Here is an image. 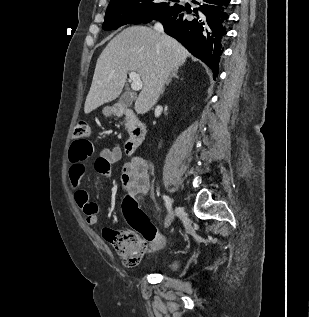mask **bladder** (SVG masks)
Returning a JSON list of instances; mask_svg holds the SVG:
<instances>
[{
  "label": "bladder",
  "instance_id": "obj_1",
  "mask_svg": "<svg viewBox=\"0 0 309 317\" xmlns=\"http://www.w3.org/2000/svg\"><path fill=\"white\" fill-rule=\"evenodd\" d=\"M163 266L167 271L174 272L177 269L178 264L175 260H169L166 261Z\"/></svg>",
  "mask_w": 309,
  "mask_h": 317
}]
</instances>
